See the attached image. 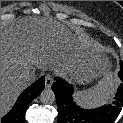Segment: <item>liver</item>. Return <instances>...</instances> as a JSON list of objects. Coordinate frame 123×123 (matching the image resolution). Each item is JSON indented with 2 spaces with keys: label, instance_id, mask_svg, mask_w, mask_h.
Returning <instances> with one entry per match:
<instances>
[{
  "label": "liver",
  "instance_id": "obj_1",
  "mask_svg": "<svg viewBox=\"0 0 123 123\" xmlns=\"http://www.w3.org/2000/svg\"><path fill=\"white\" fill-rule=\"evenodd\" d=\"M99 49L60 22L45 17H24L1 26V117L34 78L22 75L35 68L52 69L79 83L96 76Z\"/></svg>",
  "mask_w": 123,
  "mask_h": 123
}]
</instances>
